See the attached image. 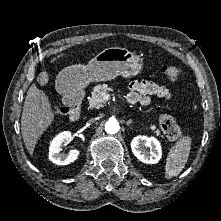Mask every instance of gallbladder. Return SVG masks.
<instances>
[{
	"label": "gallbladder",
	"instance_id": "obj_1",
	"mask_svg": "<svg viewBox=\"0 0 221 221\" xmlns=\"http://www.w3.org/2000/svg\"><path fill=\"white\" fill-rule=\"evenodd\" d=\"M47 80H48V75L45 72L40 73L38 78H37L38 83L41 84V85L46 84Z\"/></svg>",
	"mask_w": 221,
	"mask_h": 221
}]
</instances>
